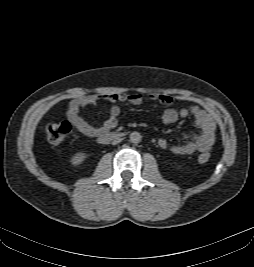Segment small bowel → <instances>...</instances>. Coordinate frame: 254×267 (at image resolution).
Segmentation results:
<instances>
[{
  "mask_svg": "<svg viewBox=\"0 0 254 267\" xmlns=\"http://www.w3.org/2000/svg\"><path fill=\"white\" fill-rule=\"evenodd\" d=\"M100 98L112 103L125 102L131 105H140L143 102V96L140 94H108L102 97L90 95L73 99L68 104L66 117L79 132L87 137L99 138L114 129L119 123L121 109L118 105H113L110 108L109 117L100 127L92 126L81 117L80 110L87 106L96 105ZM150 98L166 106L162 114V121L165 124H172L179 118L189 116H192L194 119L197 133L185 136L182 143L172 145L170 147L172 153L177 155H191L196 152H207L210 150L215 141L216 125L208 113L198 106L177 110L172 107L174 100L168 95L153 94ZM158 144L161 148L168 146L165 139H160Z\"/></svg>",
  "mask_w": 254,
  "mask_h": 267,
  "instance_id": "1",
  "label": "small bowel"
}]
</instances>
